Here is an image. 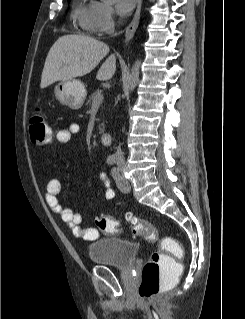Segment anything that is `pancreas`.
<instances>
[{
	"instance_id": "obj_1",
	"label": "pancreas",
	"mask_w": 245,
	"mask_h": 319,
	"mask_svg": "<svg viewBox=\"0 0 245 319\" xmlns=\"http://www.w3.org/2000/svg\"><path fill=\"white\" fill-rule=\"evenodd\" d=\"M99 94H101V90H96L95 92H93L90 96H89V99H88V101H87V105H90L92 102H93V100L99 95ZM99 130H100V132H102L103 130H104V125L103 124H101L100 126H99Z\"/></svg>"
}]
</instances>
